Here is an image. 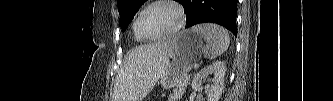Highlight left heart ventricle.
<instances>
[{
	"label": "left heart ventricle",
	"mask_w": 333,
	"mask_h": 101,
	"mask_svg": "<svg viewBox=\"0 0 333 101\" xmlns=\"http://www.w3.org/2000/svg\"><path fill=\"white\" fill-rule=\"evenodd\" d=\"M178 23V14L167 5H156L141 16L140 28L148 37H156L171 31Z\"/></svg>",
	"instance_id": "1"
}]
</instances>
